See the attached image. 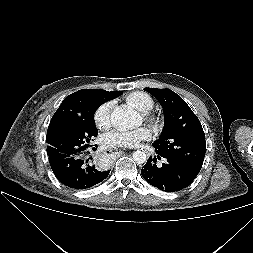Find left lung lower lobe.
<instances>
[{"label": "left lung lower lobe", "instance_id": "1", "mask_svg": "<svg viewBox=\"0 0 253 253\" xmlns=\"http://www.w3.org/2000/svg\"><path fill=\"white\" fill-rule=\"evenodd\" d=\"M161 158H164V163L158 167L156 161ZM141 174L150 185L166 192L180 191L188 187L197 176L177 161L158 154L157 157L147 160Z\"/></svg>", "mask_w": 253, "mask_h": 253}]
</instances>
